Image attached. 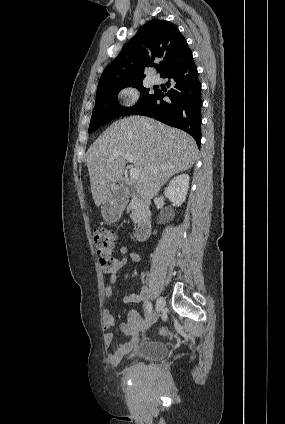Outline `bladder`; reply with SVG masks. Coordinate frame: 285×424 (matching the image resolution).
<instances>
[{"label":"bladder","mask_w":285,"mask_h":424,"mask_svg":"<svg viewBox=\"0 0 285 424\" xmlns=\"http://www.w3.org/2000/svg\"><path fill=\"white\" fill-rule=\"evenodd\" d=\"M166 353L167 347L163 342H142L132 349L130 353L122 359V362L124 363L132 358H138L142 361H157L162 359Z\"/></svg>","instance_id":"obj_1"}]
</instances>
